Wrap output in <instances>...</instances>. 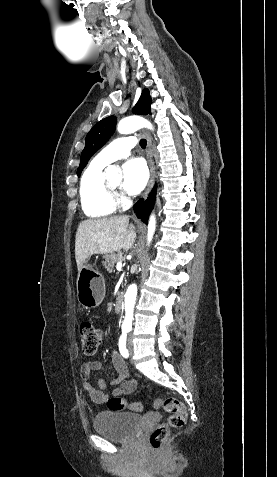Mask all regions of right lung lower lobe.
<instances>
[{"label":"right lung lower lobe","mask_w":277,"mask_h":477,"mask_svg":"<svg viewBox=\"0 0 277 477\" xmlns=\"http://www.w3.org/2000/svg\"><path fill=\"white\" fill-rule=\"evenodd\" d=\"M155 197H156V187L152 190V192L149 195V198L145 202H143V200H140L134 206V210L137 213L138 218L142 219V221L146 224L148 222L149 214L154 205Z\"/></svg>","instance_id":"right-lung-lower-lobe-1"}]
</instances>
